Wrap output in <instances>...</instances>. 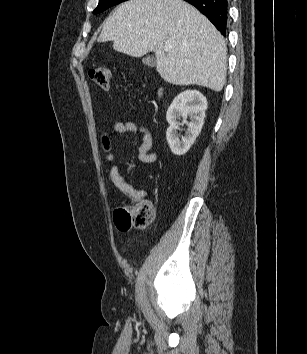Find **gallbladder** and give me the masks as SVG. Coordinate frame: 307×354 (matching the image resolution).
Here are the masks:
<instances>
[{
	"instance_id": "1",
	"label": "gallbladder",
	"mask_w": 307,
	"mask_h": 354,
	"mask_svg": "<svg viewBox=\"0 0 307 354\" xmlns=\"http://www.w3.org/2000/svg\"><path fill=\"white\" fill-rule=\"evenodd\" d=\"M155 59L152 56H149L145 59V64L148 65L149 67H154L155 66Z\"/></svg>"
}]
</instances>
